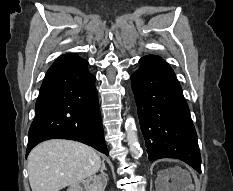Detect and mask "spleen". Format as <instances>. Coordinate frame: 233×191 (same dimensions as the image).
<instances>
[{"label": "spleen", "instance_id": "spleen-1", "mask_svg": "<svg viewBox=\"0 0 233 191\" xmlns=\"http://www.w3.org/2000/svg\"><path fill=\"white\" fill-rule=\"evenodd\" d=\"M185 176H189L187 173H184Z\"/></svg>", "mask_w": 233, "mask_h": 191}]
</instances>
